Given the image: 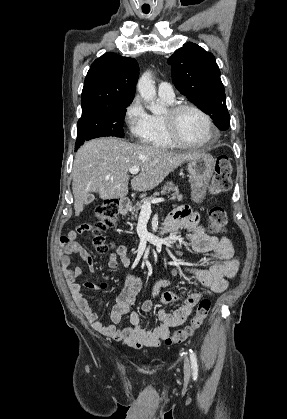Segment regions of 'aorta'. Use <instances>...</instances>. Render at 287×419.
I'll list each match as a JSON object with an SVG mask.
<instances>
[{"label":"aorta","instance_id":"762f6f07","mask_svg":"<svg viewBox=\"0 0 287 419\" xmlns=\"http://www.w3.org/2000/svg\"><path fill=\"white\" fill-rule=\"evenodd\" d=\"M137 89L141 97L150 103L149 109L152 113L157 114L162 110L161 105L155 102L156 88L150 71H146L139 78Z\"/></svg>","mask_w":287,"mask_h":419}]
</instances>
